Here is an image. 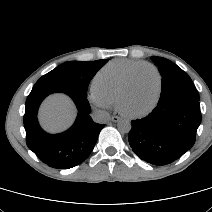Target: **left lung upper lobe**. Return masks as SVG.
Here are the masks:
<instances>
[{
	"label": "left lung upper lobe",
	"instance_id": "obj_1",
	"mask_svg": "<svg viewBox=\"0 0 212 212\" xmlns=\"http://www.w3.org/2000/svg\"><path fill=\"white\" fill-rule=\"evenodd\" d=\"M162 76V89L159 102L174 97H189L199 100L198 91L191 78L180 67L168 59L151 56Z\"/></svg>",
	"mask_w": 212,
	"mask_h": 212
}]
</instances>
